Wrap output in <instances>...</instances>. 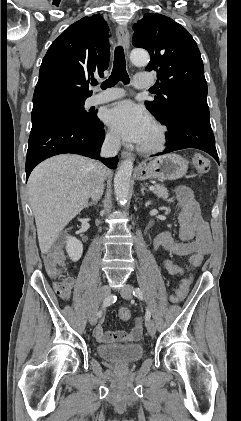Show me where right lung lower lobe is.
I'll return each mask as SVG.
<instances>
[{"instance_id":"right-lung-lower-lobe-1","label":"right lung lower lobe","mask_w":241,"mask_h":421,"mask_svg":"<svg viewBox=\"0 0 241 421\" xmlns=\"http://www.w3.org/2000/svg\"><path fill=\"white\" fill-rule=\"evenodd\" d=\"M96 116V114H95ZM104 125L96 116L94 124L79 121L71 111H56L32 120L26 159V180L36 165L58 154L74 153L100 159L113 169L118 158H100Z\"/></svg>"}]
</instances>
